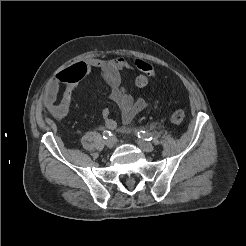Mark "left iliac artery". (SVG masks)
<instances>
[{
  "instance_id": "44dca946",
  "label": "left iliac artery",
  "mask_w": 246,
  "mask_h": 246,
  "mask_svg": "<svg viewBox=\"0 0 246 246\" xmlns=\"http://www.w3.org/2000/svg\"><path fill=\"white\" fill-rule=\"evenodd\" d=\"M136 134L138 135L139 138H142L144 140H147V141H150L152 140V134L151 133H148L146 131H136Z\"/></svg>"
}]
</instances>
